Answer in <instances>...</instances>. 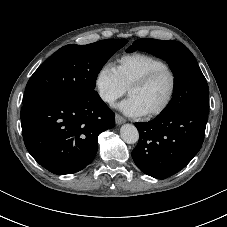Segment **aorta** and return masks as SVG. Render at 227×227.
<instances>
[{
  "instance_id": "762f6f07",
  "label": "aorta",
  "mask_w": 227,
  "mask_h": 227,
  "mask_svg": "<svg viewBox=\"0 0 227 227\" xmlns=\"http://www.w3.org/2000/svg\"><path fill=\"white\" fill-rule=\"evenodd\" d=\"M120 136L127 144H134L139 139V132L133 124H124L120 129Z\"/></svg>"
}]
</instances>
